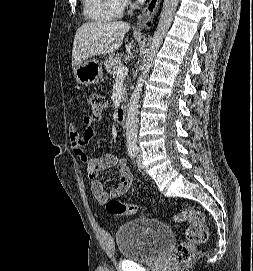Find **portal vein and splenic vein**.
Masks as SVG:
<instances>
[{
	"label": "portal vein and splenic vein",
	"instance_id": "1",
	"mask_svg": "<svg viewBox=\"0 0 253 271\" xmlns=\"http://www.w3.org/2000/svg\"><path fill=\"white\" fill-rule=\"evenodd\" d=\"M117 77H124L128 73V68L127 67H118L116 69Z\"/></svg>",
	"mask_w": 253,
	"mask_h": 271
}]
</instances>
